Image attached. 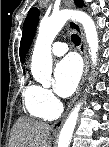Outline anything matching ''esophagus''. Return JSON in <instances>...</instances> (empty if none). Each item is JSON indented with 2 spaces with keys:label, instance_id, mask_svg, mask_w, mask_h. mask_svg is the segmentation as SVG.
Instances as JSON below:
<instances>
[{
  "label": "esophagus",
  "instance_id": "obj_1",
  "mask_svg": "<svg viewBox=\"0 0 109 147\" xmlns=\"http://www.w3.org/2000/svg\"><path fill=\"white\" fill-rule=\"evenodd\" d=\"M68 3L69 6L73 5V1H66ZM70 28L72 30H74L81 38V44H80V53L84 59V71H83V75H82V78H81V81L79 83V86L77 88V91L74 95V97L72 98V100L69 102V104L67 105V108L65 110V112L63 113V115L61 116L60 119H58L56 122H54L52 124V129L54 130H58L62 127L68 113L70 112L74 102L76 101V99L78 98V96L80 95V92L82 90V87L85 83V80H86V76H87V73H88V69H89V62H88V57H87V51H86V40H85V36H84V33H83V30H82V27L77 23V22H71L69 24Z\"/></svg>",
  "mask_w": 109,
  "mask_h": 147
}]
</instances>
